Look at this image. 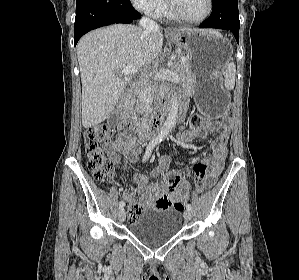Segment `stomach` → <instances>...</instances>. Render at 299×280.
<instances>
[{
    "mask_svg": "<svg viewBox=\"0 0 299 280\" xmlns=\"http://www.w3.org/2000/svg\"><path fill=\"white\" fill-rule=\"evenodd\" d=\"M169 39L189 53L198 109L207 116H220L227 102L221 76L232 57L231 43L215 30L177 31Z\"/></svg>",
    "mask_w": 299,
    "mask_h": 280,
    "instance_id": "0dacf381",
    "label": "stomach"
}]
</instances>
